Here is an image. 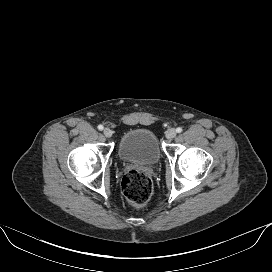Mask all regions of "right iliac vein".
Here are the masks:
<instances>
[{
	"mask_svg": "<svg viewBox=\"0 0 272 272\" xmlns=\"http://www.w3.org/2000/svg\"><path fill=\"white\" fill-rule=\"evenodd\" d=\"M103 133L107 138H110L112 136V131L109 128H105Z\"/></svg>",
	"mask_w": 272,
	"mask_h": 272,
	"instance_id": "63e3f726",
	"label": "right iliac vein"
}]
</instances>
